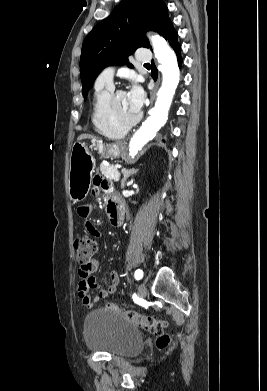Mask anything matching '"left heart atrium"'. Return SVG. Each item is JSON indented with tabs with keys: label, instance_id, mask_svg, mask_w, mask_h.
Instances as JSON below:
<instances>
[{
	"label": "left heart atrium",
	"instance_id": "39dd6f15",
	"mask_svg": "<svg viewBox=\"0 0 267 391\" xmlns=\"http://www.w3.org/2000/svg\"><path fill=\"white\" fill-rule=\"evenodd\" d=\"M127 96L129 98L132 108L134 109V111L138 113L143 104V99H144L143 90L141 89L140 86L133 85L130 88L129 92L127 93Z\"/></svg>",
	"mask_w": 267,
	"mask_h": 391
}]
</instances>
